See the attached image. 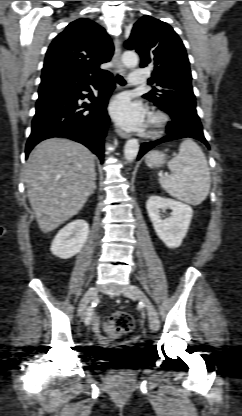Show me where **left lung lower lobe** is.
<instances>
[{"label":"left lung lower lobe","instance_id":"1","mask_svg":"<svg viewBox=\"0 0 242 416\" xmlns=\"http://www.w3.org/2000/svg\"><path fill=\"white\" fill-rule=\"evenodd\" d=\"M170 116L172 121L166 126L168 135L156 141L143 143L140 147L138 159L158 144L187 137L197 139L209 148L197 113L185 111L172 113Z\"/></svg>","mask_w":242,"mask_h":416}]
</instances>
